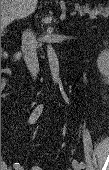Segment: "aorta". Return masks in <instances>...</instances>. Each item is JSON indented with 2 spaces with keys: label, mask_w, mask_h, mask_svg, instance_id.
Returning <instances> with one entry per match:
<instances>
[{
  "label": "aorta",
  "mask_w": 109,
  "mask_h": 170,
  "mask_svg": "<svg viewBox=\"0 0 109 170\" xmlns=\"http://www.w3.org/2000/svg\"><path fill=\"white\" fill-rule=\"evenodd\" d=\"M46 42H47V57H48L51 76L54 81V84L55 83L57 84L60 83V78H59L60 68H59L58 57L54 48L51 45V39L49 37H47Z\"/></svg>",
  "instance_id": "762f6f07"
}]
</instances>
